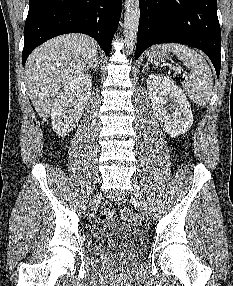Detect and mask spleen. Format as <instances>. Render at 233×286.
Returning a JSON list of instances; mask_svg holds the SVG:
<instances>
[{
    "mask_svg": "<svg viewBox=\"0 0 233 286\" xmlns=\"http://www.w3.org/2000/svg\"><path fill=\"white\" fill-rule=\"evenodd\" d=\"M164 52H173L183 64L191 69L189 80L183 84L187 96L197 105L205 106L212 95V72L206 60L195 50L178 43L159 46Z\"/></svg>",
    "mask_w": 233,
    "mask_h": 286,
    "instance_id": "3e777b00",
    "label": "spleen"
}]
</instances>
